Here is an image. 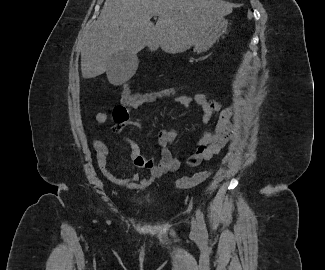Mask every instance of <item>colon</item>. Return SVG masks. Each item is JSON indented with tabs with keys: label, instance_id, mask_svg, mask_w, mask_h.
Returning a JSON list of instances; mask_svg holds the SVG:
<instances>
[{
	"label": "colon",
	"instance_id": "colon-1",
	"mask_svg": "<svg viewBox=\"0 0 325 270\" xmlns=\"http://www.w3.org/2000/svg\"><path fill=\"white\" fill-rule=\"evenodd\" d=\"M186 85H177L162 88L159 90H150L143 93H132L130 86L125 84L121 92V100L123 104L130 106H140L156 103L158 101L168 99L177 95ZM211 171H201L193 176L182 177L176 182V187L178 189H188L192 188L210 177Z\"/></svg>",
	"mask_w": 325,
	"mask_h": 270
}]
</instances>
